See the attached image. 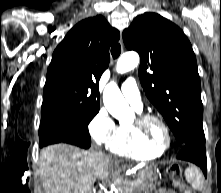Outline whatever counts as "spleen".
<instances>
[{"mask_svg": "<svg viewBox=\"0 0 221 193\" xmlns=\"http://www.w3.org/2000/svg\"><path fill=\"white\" fill-rule=\"evenodd\" d=\"M185 178L189 184L195 189V190H201L203 187V178L202 173L200 170L195 167L191 166L185 170Z\"/></svg>", "mask_w": 221, "mask_h": 193, "instance_id": "3e777b00", "label": "spleen"}]
</instances>
